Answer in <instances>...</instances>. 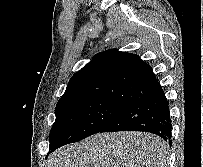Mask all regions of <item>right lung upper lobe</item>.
Segmentation results:
<instances>
[{"mask_svg":"<svg viewBox=\"0 0 203 167\" xmlns=\"http://www.w3.org/2000/svg\"><path fill=\"white\" fill-rule=\"evenodd\" d=\"M160 89L152 68L139 56L112 49L98 53L74 74L56 106L85 98H104L130 106Z\"/></svg>","mask_w":203,"mask_h":167,"instance_id":"1","label":"right lung upper lobe"}]
</instances>
